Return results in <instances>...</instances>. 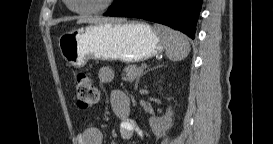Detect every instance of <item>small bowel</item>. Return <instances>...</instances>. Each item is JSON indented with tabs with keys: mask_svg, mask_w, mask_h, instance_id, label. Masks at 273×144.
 I'll return each instance as SVG.
<instances>
[{
	"mask_svg": "<svg viewBox=\"0 0 273 144\" xmlns=\"http://www.w3.org/2000/svg\"><path fill=\"white\" fill-rule=\"evenodd\" d=\"M99 81L103 84L111 83L114 79L113 70L102 68L98 73ZM112 110L120 121V137L122 140H131L137 132L141 134L136 122L130 116L129 97L122 91L111 93ZM103 134L97 127H87L76 137V144H102Z\"/></svg>",
	"mask_w": 273,
	"mask_h": 144,
	"instance_id": "1",
	"label": "small bowel"
}]
</instances>
